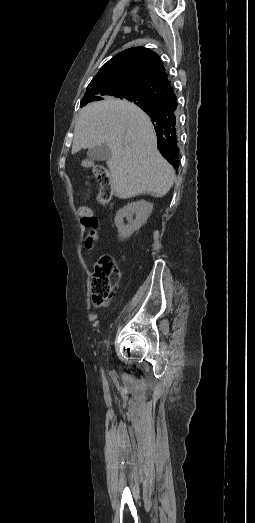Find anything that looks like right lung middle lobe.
Listing matches in <instances>:
<instances>
[{"label":"right lung middle lobe","mask_w":255,"mask_h":523,"mask_svg":"<svg viewBox=\"0 0 255 523\" xmlns=\"http://www.w3.org/2000/svg\"><path fill=\"white\" fill-rule=\"evenodd\" d=\"M114 97L127 99L131 102H140L144 108H149L153 104V99L146 92L137 89H128L114 95Z\"/></svg>","instance_id":"dd1d6c3e"}]
</instances>
